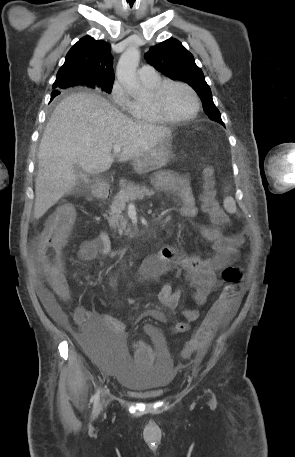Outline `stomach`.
<instances>
[{
  "instance_id": "0dacf381",
  "label": "stomach",
  "mask_w": 295,
  "mask_h": 457,
  "mask_svg": "<svg viewBox=\"0 0 295 457\" xmlns=\"http://www.w3.org/2000/svg\"><path fill=\"white\" fill-rule=\"evenodd\" d=\"M173 158L172 137H169L147 153L135 158L133 167L137 173L144 174L166 165Z\"/></svg>"
}]
</instances>
